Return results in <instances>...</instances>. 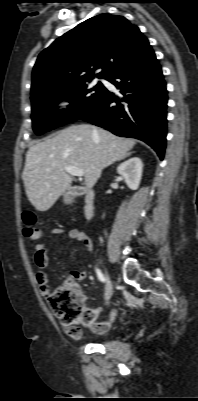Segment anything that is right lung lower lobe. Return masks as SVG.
<instances>
[{
  "label": "right lung lower lobe",
  "instance_id": "obj_1",
  "mask_svg": "<svg viewBox=\"0 0 198 401\" xmlns=\"http://www.w3.org/2000/svg\"><path fill=\"white\" fill-rule=\"evenodd\" d=\"M107 80L120 94L105 88L95 106L79 119L118 136L140 139L162 160L166 147L167 91L151 46L119 67Z\"/></svg>",
  "mask_w": 198,
  "mask_h": 401
}]
</instances>
